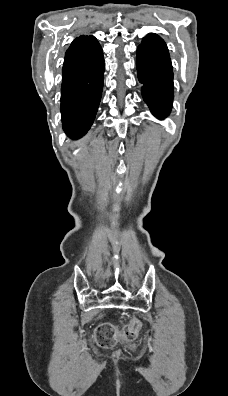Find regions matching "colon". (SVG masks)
I'll list each match as a JSON object with an SVG mask.
<instances>
[{"instance_id":"1","label":"colon","mask_w":228,"mask_h":396,"mask_svg":"<svg viewBox=\"0 0 228 396\" xmlns=\"http://www.w3.org/2000/svg\"><path fill=\"white\" fill-rule=\"evenodd\" d=\"M141 328L142 323L138 318H131L121 331L114 324L104 323L97 328L95 339L99 346L108 348L115 345L119 339L133 342Z\"/></svg>"}]
</instances>
